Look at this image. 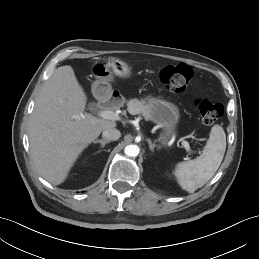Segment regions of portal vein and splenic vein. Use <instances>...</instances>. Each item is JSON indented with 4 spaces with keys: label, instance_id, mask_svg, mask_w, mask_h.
<instances>
[{
    "label": "portal vein and splenic vein",
    "instance_id": "18ae733b",
    "mask_svg": "<svg viewBox=\"0 0 259 259\" xmlns=\"http://www.w3.org/2000/svg\"><path fill=\"white\" fill-rule=\"evenodd\" d=\"M99 116L103 119H107V120H112V121H115L117 120V115L113 112V111H110V110H103V111H100L99 112ZM182 144L185 148V150L188 152V153H192V149L189 145V143L185 140H182Z\"/></svg>",
    "mask_w": 259,
    "mask_h": 259
}]
</instances>
